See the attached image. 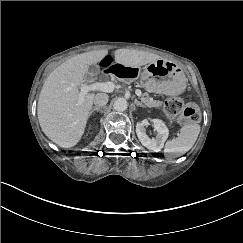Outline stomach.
I'll return each instance as SVG.
<instances>
[{
	"instance_id": "0dacf381",
	"label": "stomach",
	"mask_w": 243,
	"mask_h": 243,
	"mask_svg": "<svg viewBox=\"0 0 243 243\" xmlns=\"http://www.w3.org/2000/svg\"><path fill=\"white\" fill-rule=\"evenodd\" d=\"M141 84L149 92L177 95L184 91L187 80L180 67L159 59L144 67Z\"/></svg>"
}]
</instances>
